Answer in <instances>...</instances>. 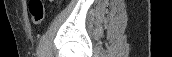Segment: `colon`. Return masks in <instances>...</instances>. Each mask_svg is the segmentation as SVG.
I'll list each match as a JSON object with an SVG mask.
<instances>
[{
    "label": "colon",
    "instance_id": "obj_1",
    "mask_svg": "<svg viewBox=\"0 0 172 57\" xmlns=\"http://www.w3.org/2000/svg\"><path fill=\"white\" fill-rule=\"evenodd\" d=\"M29 11L34 24L39 25L44 21L45 9L41 0H30Z\"/></svg>",
    "mask_w": 172,
    "mask_h": 57
}]
</instances>
